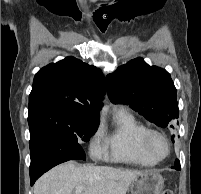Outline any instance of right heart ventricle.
<instances>
[{
  "label": "right heart ventricle",
  "instance_id": "1",
  "mask_svg": "<svg viewBox=\"0 0 201 194\" xmlns=\"http://www.w3.org/2000/svg\"><path fill=\"white\" fill-rule=\"evenodd\" d=\"M112 130L106 133L105 145L113 161L152 166L156 163L144 151L142 138L147 129L133 113L119 109L113 117Z\"/></svg>",
  "mask_w": 201,
  "mask_h": 194
}]
</instances>
